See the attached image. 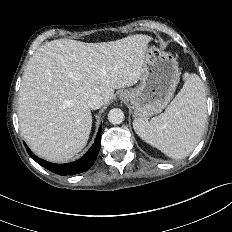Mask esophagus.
Wrapping results in <instances>:
<instances>
[{
  "label": "esophagus",
  "mask_w": 232,
  "mask_h": 232,
  "mask_svg": "<svg viewBox=\"0 0 232 232\" xmlns=\"http://www.w3.org/2000/svg\"><path fill=\"white\" fill-rule=\"evenodd\" d=\"M121 97H126V96H125V93H122V94H121Z\"/></svg>",
  "instance_id": "34e87169"
}]
</instances>
